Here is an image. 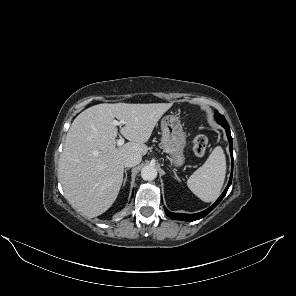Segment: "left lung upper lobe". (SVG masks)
Returning <instances> with one entry per match:
<instances>
[{"mask_svg": "<svg viewBox=\"0 0 296 296\" xmlns=\"http://www.w3.org/2000/svg\"><path fill=\"white\" fill-rule=\"evenodd\" d=\"M215 118H216L217 121L227 122L225 117L223 115L219 114V113L215 114Z\"/></svg>", "mask_w": 296, "mask_h": 296, "instance_id": "5c2ea615", "label": "left lung upper lobe"}]
</instances>
